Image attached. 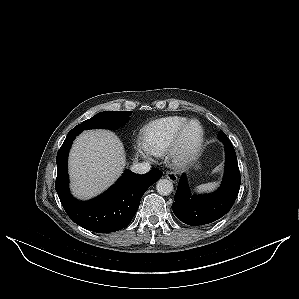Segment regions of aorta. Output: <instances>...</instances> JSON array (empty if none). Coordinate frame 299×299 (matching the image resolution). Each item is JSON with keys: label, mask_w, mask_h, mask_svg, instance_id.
Masks as SVG:
<instances>
[{"label": "aorta", "mask_w": 299, "mask_h": 299, "mask_svg": "<svg viewBox=\"0 0 299 299\" xmlns=\"http://www.w3.org/2000/svg\"><path fill=\"white\" fill-rule=\"evenodd\" d=\"M156 190L160 195H170L173 191V183L169 179H160L156 184Z\"/></svg>", "instance_id": "obj_1"}]
</instances>
